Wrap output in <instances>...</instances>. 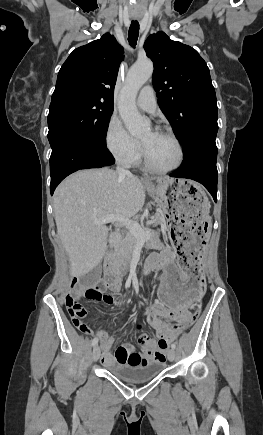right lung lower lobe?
<instances>
[{
	"instance_id": "right-lung-lower-lobe-1",
	"label": "right lung lower lobe",
	"mask_w": 263,
	"mask_h": 435,
	"mask_svg": "<svg viewBox=\"0 0 263 435\" xmlns=\"http://www.w3.org/2000/svg\"><path fill=\"white\" fill-rule=\"evenodd\" d=\"M114 162L106 146H98L82 139L60 140L50 157L51 195L69 174L80 169L101 168Z\"/></svg>"
}]
</instances>
